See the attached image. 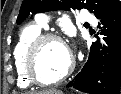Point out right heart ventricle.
<instances>
[{
    "mask_svg": "<svg viewBox=\"0 0 121 94\" xmlns=\"http://www.w3.org/2000/svg\"><path fill=\"white\" fill-rule=\"evenodd\" d=\"M42 31L43 28L40 23L39 24L33 23L25 26L22 29L18 41L14 47L13 51L14 64L17 73L18 85L21 88L26 89L31 87L32 85V83L29 81L28 77L26 76L24 70V56L30 42L38 35L42 34Z\"/></svg>",
    "mask_w": 121,
    "mask_h": 94,
    "instance_id": "obj_1",
    "label": "right heart ventricle"
}]
</instances>
